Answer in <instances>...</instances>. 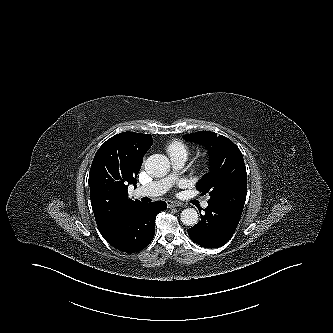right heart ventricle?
Segmentation results:
<instances>
[{
    "instance_id": "obj_1",
    "label": "right heart ventricle",
    "mask_w": 333,
    "mask_h": 333,
    "mask_svg": "<svg viewBox=\"0 0 333 333\" xmlns=\"http://www.w3.org/2000/svg\"><path fill=\"white\" fill-rule=\"evenodd\" d=\"M166 150H167L170 158H173V157L187 158L190 153L189 147L185 143H183L182 141H179V140H174V141L170 142L167 145Z\"/></svg>"
}]
</instances>
